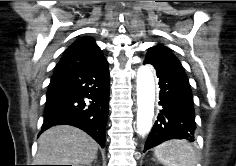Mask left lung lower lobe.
Returning a JSON list of instances; mask_svg holds the SVG:
<instances>
[{
    "label": "left lung lower lobe",
    "instance_id": "1",
    "mask_svg": "<svg viewBox=\"0 0 236 166\" xmlns=\"http://www.w3.org/2000/svg\"><path fill=\"white\" fill-rule=\"evenodd\" d=\"M159 78V105L157 120L148 135L144 152L169 139L195 140V112L188 78L176 57L146 58Z\"/></svg>",
    "mask_w": 236,
    "mask_h": 166
}]
</instances>
